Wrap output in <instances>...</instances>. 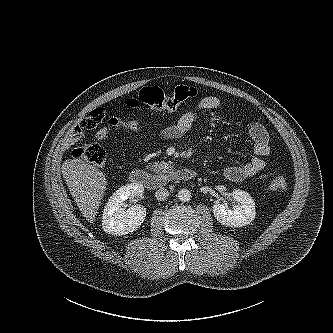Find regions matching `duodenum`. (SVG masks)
<instances>
[{
	"label": "duodenum",
	"instance_id": "obj_1",
	"mask_svg": "<svg viewBox=\"0 0 333 333\" xmlns=\"http://www.w3.org/2000/svg\"><path fill=\"white\" fill-rule=\"evenodd\" d=\"M196 172L190 168H181L166 174H154L142 169H135L130 173V179L134 184L149 189L164 187L169 180L190 181L196 177Z\"/></svg>",
	"mask_w": 333,
	"mask_h": 333
}]
</instances>
